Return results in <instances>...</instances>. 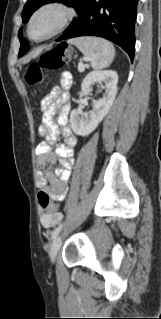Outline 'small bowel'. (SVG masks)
I'll list each match as a JSON object with an SVG mask.
<instances>
[{"label":"small bowel","mask_w":161,"mask_h":319,"mask_svg":"<svg viewBox=\"0 0 161 319\" xmlns=\"http://www.w3.org/2000/svg\"><path fill=\"white\" fill-rule=\"evenodd\" d=\"M69 87L70 75L63 72L59 75V85L52 88L43 98L41 102L42 124L38 132L44 137V140L36 147L40 164H55L58 158L61 161V168L56 169L55 172H40L38 180L39 187L49 193L51 198L57 202L66 199L70 172L73 168L72 157L77 146V137L68 124ZM56 115L57 122L54 121ZM60 134L64 138V143L59 144L53 152L51 145L58 141ZM61 219L62 214L58 211L42 212L40 216L41 225L46 229L55 227Z\"/></svg>","instance_id":"obj_1"}]
</instances>
